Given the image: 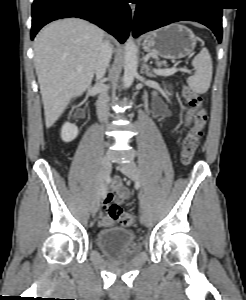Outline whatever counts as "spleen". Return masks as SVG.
<instances>
[{"label": "spleen", "instance_id": "obj_1", "mask_svg": "<svg viewBox=\"0 0 246 300\" xmlns=\"http://www.w3.org/2000/svg\"><path fill=\"white\" fill-rule=\"evenodd\" d=\"M192 66L195 73L187 79V83L195 93L204 94L210 87L213 72L212 59L206 48L194 57Z\"/></svg>", "mask_w": 246, "mask_h": 300}]
</instances>
